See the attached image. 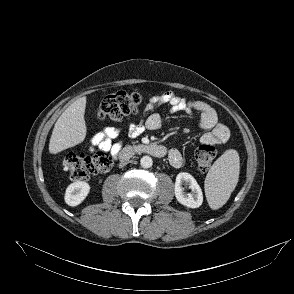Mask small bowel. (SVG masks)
Wrapping results in <instances>:
<instances>
[{"label": "small bowel", "instance_id": "obj_1", "mask_svg": "<svg viewBox=\"0 0 294 294\" xmlns=\"http://www.w3.org/2000/svg\"><path fill=\"white\" fill-rule=\"evenodd\" d=\"M162 105H169L171 112H184L188 115L199 114V127L204 131L201 142L218 145L225 143L229 138L228 128L218 122L216 111L207 103L200 100H190L180 97L172 91L154 95L149 98L142 118L138 122H131L128 127L132 138L140 136L146 130H158L162 127L161 116L154 112ZM120 130L108 126L101 132L96 133L90 140V151L101 150L109 152L117 157L121 151V143L113 142L119 136ZM169 162L174 167H180L183 158L179 150L172 149L168 154Z\"/></svg>", "mask_w": 294, "mask_h": 294}]
</instances>
